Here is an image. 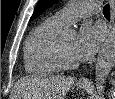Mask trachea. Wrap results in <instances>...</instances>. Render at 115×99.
<instances>
[{"label": "trachea", "mask_w": 115, "mask_h": 99, "mask_svg": "<svg viewBox=\"0 0 115 99\" xmlns=\"http://www.w3.org/2000/svg\"><path fill=\"white\" fill-rule=\"evenodd\" d=\"M103 14L105 17L110 18V6H109V4L104 6Z\"/></svg>", "instance_id": "obj_1"}]
</instances>
